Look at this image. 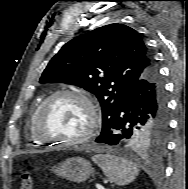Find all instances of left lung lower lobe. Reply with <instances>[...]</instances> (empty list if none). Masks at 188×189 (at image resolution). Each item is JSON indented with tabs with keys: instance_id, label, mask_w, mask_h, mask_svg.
I'll use <instances>...</instances> for the list:
<instances>
[{
	"instance_id": "left-lung-lower-lobe-1",
	"label": "left lung lower lobe",
	"mask_w": 188,
	"mask_h": 189,
	"mask_svg": "<svg viewBox=\"0 0 188 189\" xmlns=\"http://www.w3.org/2000/svg\"><path fill=\"white\" fill-rule=\"evenodd\" d=\"M167 111L164 85L156 65L153 64L148 72L129 88L108 130L95 141L108 145H124L147 127L167 129Z\"/></svg>"
}]
</instances>
